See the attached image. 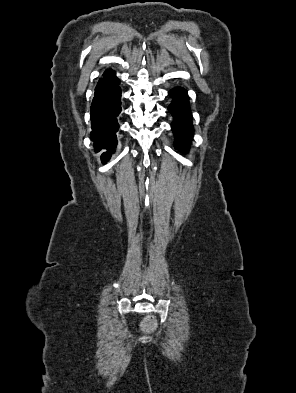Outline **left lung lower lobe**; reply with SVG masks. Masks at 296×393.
<instances>
[{
  "label": "left lung lower lobe",
  "instance_id": "left-lung-lower-lobe-1",
  "mask_svg": "<svg viewBox=\"0 0 296 393\" xmlns=\"http://www.w3.org/2000/svg\"><path fill=\"white\" fill-rule=\"evenodd\" d=\"M169 95L173 98L168 110L174 117L172 130L175 135V146L181 151L187 152L193 136L192 115L187 91L183 88H174L169 91Z\"/></svg>",
  "mask_w": 296,
  "mask_h": 393
}]
</instances>
